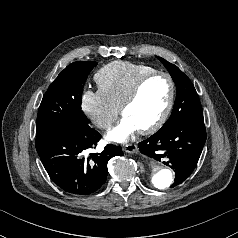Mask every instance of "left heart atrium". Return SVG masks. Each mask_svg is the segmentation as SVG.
Listing matches in <instances>:
<instances>
[{"instance_id": "left-heart-atrium-1", "label": "left heart atrium", "mask_w": 238, "mask_h": 238, "mask_svg": "<svg viewBox=\"0 0 238 238\" xmlns=\"http://www.w3.org/2000/svg\"><path fill=\"white\" fill-rule=\"evenodd\" d=\"M138 130L136 124L129 117L124 116L115 127L108 131L107 139L123 143Z\"/></svg>"}]
</instances>
